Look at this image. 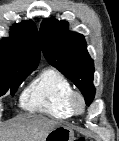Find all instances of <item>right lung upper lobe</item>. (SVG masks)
<instances>
[{
    "instance_id": "cb5924a9",
    "label": "right lung upper lobe",
    "mask_w": 119,
    "mask_h": 141,
    "mask_svg": "<svg viewBox=\"0 0 119 141\" xmlns=\"http://www.w3.org/2000/svg\"><path fill=\"white\" fill-rule=\"evenodd\" d=\"M10 37L0 42V73H28L40 60L39 35L35 24L23 21L15 24Z\"/></svg>"
}]
</instances>
